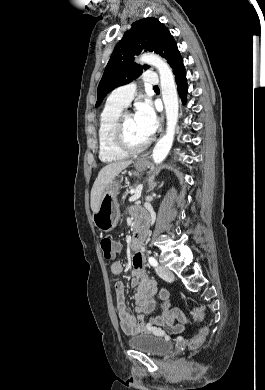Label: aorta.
<instances>
[{"label":"aorta","mask_w":265,"mask_h":390,"mask_svg":"<svg viewBox=\"0 0 265 390\" xmlns=\"http://www.w3.org/2000/svg\"><path fill=\"white\" fill-rule=\"evenodd\" d=\"M139 62L147 63L155 67L160 75L162 99L166 111L167 127L163 137L153 149V161L160 164L168 155L174 140L175 128L178 121V94L173 72L168 63L159 55L143 54Z\"/></svg>","instance_id":"762f6f07"}]
</instances>
